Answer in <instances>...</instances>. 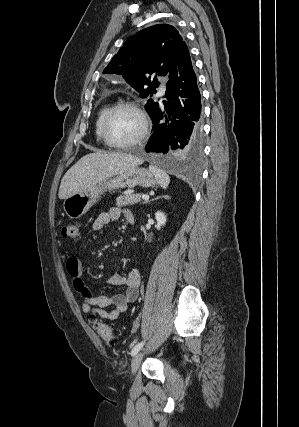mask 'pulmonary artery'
<instances>
[{
	"mask_svg": "<svg viewBox=\"0 0 299 427\" xmlns=\"http://www.w3.org/2000/svg\"><path fill=\"white\" fill-rule=\"evenodd\" d=\"M165 91H166V88L164 87V86H161L160 87V89H159V96H164L165 95Z\"/></svg>",
	"mask_w": 299,
	"mask_h": 427,
	"instance_id": "1",
	"label": "pulmonary artery"
}]
</instances>
